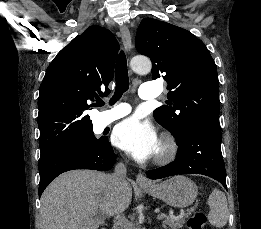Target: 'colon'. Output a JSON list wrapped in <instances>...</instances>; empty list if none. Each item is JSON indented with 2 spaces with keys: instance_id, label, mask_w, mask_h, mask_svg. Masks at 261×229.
<instances>
[{
  "instance_id": "colon-1",
  "label": "colon",
  "mask_w": 261,
  "mask_h": 229,
  "mask_svg": "<svg viewBox=\"0 0 261 229\" xmlns=\"http://www.w3.org/2000/svg\"><path fill=\"white\" fill-rule=\"evenodd\" d=\"M207 216L204 212L198 211L187 220V229H205Z\"/></svg>"
}]
</instances>
